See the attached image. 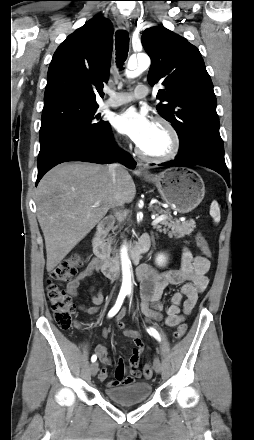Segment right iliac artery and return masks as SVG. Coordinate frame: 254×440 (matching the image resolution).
<instances>
[{
  "instance_id": "right-iliac-artery-1",
  "label": "right iliac artery",
  "mask_w": 254,
  "mask_h": 440,
  "mask_svg": "<svg viewBox=\"0 0 254 440\" xmlns=\"http://www.w3.org/2000/svg\"><path fill=\"white\" fill-rule=\"evenodd\" d=\"M126 294H127L126 292H120L119 293L117 301H116L114 307L108 313V317H113L119 311V309L121 308V306L123 304V301L125 299ZM96 360H97V356L93 355L91 357V361L95 362Z\"/></svg>"
}]
</instances>
